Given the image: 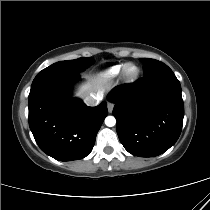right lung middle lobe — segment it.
<instances>
[{
  "label": "right lung middle lobe",
  "instance_id": "right-lung-middle-lobe-1",
  "mask_svg": "<svg viewBox=\"0 0 210 210\" xmlns=\"http://www.w3.org/2000/svg\"><path fill=\"white\" fill-rule=\"evenodd\" d=\"M93 58H78L76 60L60 61L52 64L51 66L45 68L41 72L46 71H67V72H80L84 70L87 66L93 63Z\"/></svg>",
  "mask_w": 210,
  "mask_h": 210
}]
</instances>
